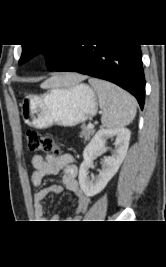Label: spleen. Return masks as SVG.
Returning a JSON list of instances; mask_svg holds the SVG:
<instances>
[{"instance_id":"3e777b00","label":"spleen","mask_w":166,"mask_h":267,"mask_svg":"<svg viewBox=\"0 0 166 267\" xmlns=\"http://www.w3.org/2000/svg\"><path fill=\"white\" fill-rule=\"evenodd\" d=\"M89 83L97 92L104 127L122 128L133 121L137 111L134 97L107 81L92 78Z\"/></svg>"}]
</instances>
